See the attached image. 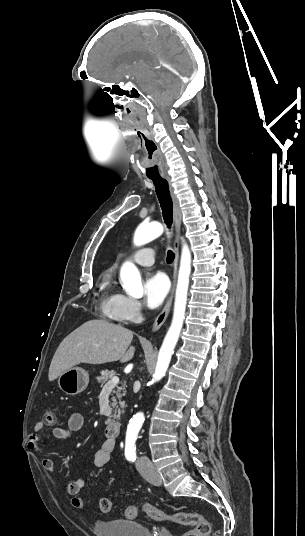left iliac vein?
Segmentation results:
<instances>
[{
    "instance_id": "left-iliac-vein-1",
    "label": "left iliac vein",
    "mask_w": 305,
    "mask_h": 536,
    "mask_svg": "<svg viewBox=\"0 0 305 536\" xmlns=\"http://www.w3.org/2000/svg\"><path fill=\"white\" fill-rule=\"evenodd\" d=\"M137 468L139 472L142 474V476L147 479L149 482L154 484L155 486H160L161 484V477L154 466H142L140 463H137Z\"/></svg>"
}]
</instances>
